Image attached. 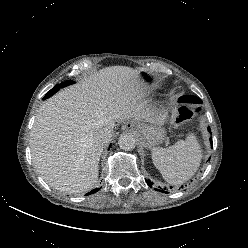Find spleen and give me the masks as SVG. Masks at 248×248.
Listing matches in <instances>:
<instances>
[{"instance_id": "3e777b00", "label": "spleen", "mask_w": 248, "mask_h": 248, "mask_svg": "<svg viewBox=\"0 0 248 248\" xmlns=\"http://www.w3.org/2000/svg\"><path fill=\"white\" fill-rule=\"evenodd\" d=\"M201 159V149L194 135L167 148H152L154 166L168 183L175 185L189 180L198 170Z\"/></svg>"}]
</instances>
